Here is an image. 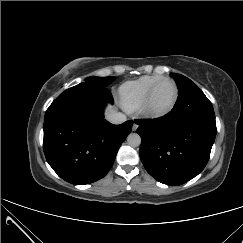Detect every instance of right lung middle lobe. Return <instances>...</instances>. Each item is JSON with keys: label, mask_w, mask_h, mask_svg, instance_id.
I'll return each mask as SVG.
<instances>
[{"label": "right lung middle lobe", "mask_w": 243, "mask_h": 243, "mask_svg": "<svg viewBox=\"0 0 243 243\" xmlns=\"http://www.w3.org/2000/svg\"><path fill=\"white\" fill-rule=\"evenodd\" d=\"M115 80V77H96L91 76L85 79V82L91 83L99 87H107Z\"/></svg>", "instance_id": "1"}]
</instances>
